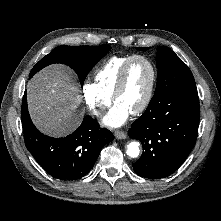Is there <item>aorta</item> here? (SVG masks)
I'll return each mask as SVG.
<instances>
[{
    "label": "aorta",
    "mask_w": 221,
    "mask_h": 221,
    "mask_svg": "<svg viewBox=\"0 0 221 221\" xmlns=\"http://www.w3.org/2000/svg\"><path fill=\"white\" fill-rule=\"evenodd\" d=\"M140 149H139V143L138 142H131L127 146V155L131 158H136L139 156Z\"/></svg>",
    "instance_id": "762f6f07"
}]
</instances>
